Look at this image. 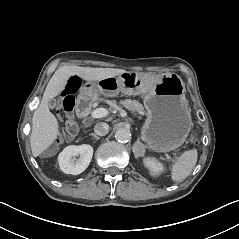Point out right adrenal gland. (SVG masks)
Listing matches in <instances>:
<instances>
[{
	"label": "right adrenal gland",
	"mask_w": 239,
	"mask_h": 239,
	"mask_svg": "<svg viewBox=\"0 0 239 239\" xmlns=\"http://www.w3.org/2000/svg\"><path fill=\"white\" fill-rule=\"evenodd\" d=\"M90 135L93 136L96 140H99V139H100V137L97 136L95 133H91Z\"/></svg>",
	"instance_id": "right-adrenal-gland-1"
}]
</instances>
